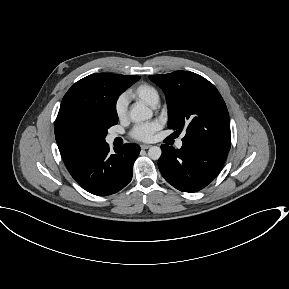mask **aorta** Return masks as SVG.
Instances as JSON below:
<instances>
[{
  "label": "aorta",
  "instance_id": "obj_1",
  "mask_svg": "<svg viewBox=\"0 0 289 289\" xmlns=\"http://www.w3.org/2000/svg\"><path fill=\"white\" fill-rule=\"evenodd\" d=\"M152 110L143 104H137L130 110V118L134 123H141L152 117ZM162 151L158 146H152L148 150V156L153 160L161 157Z\"/></svg>",
  "mask_w": 289,
  "mask_h": 289
}]
</instances>
